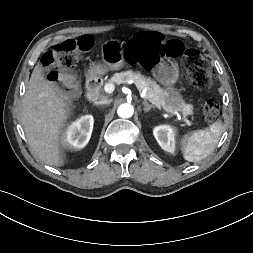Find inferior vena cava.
Wrapping results in <instances>:
<instances>
[{"label": "inferior vena cava", "instance_id": "inferior-vena-cava-1", "mask_svg": "<svg viewBox=\"0 0 253 253\" xmlns=\"http://www.w3.org/2000/svg\"><path fill=\"white\" fill-rule=\"evenodd\" d=\"M111 99H102L100 101L95 102L96 105H105V104H110L111 103Z\"/></svg>", "mask_w": 253, "mask_h": 253}]
</instances>
